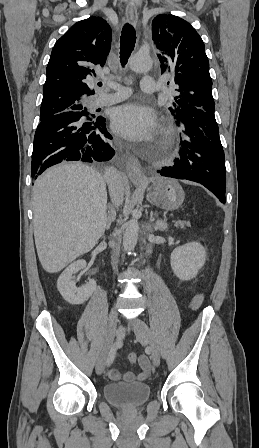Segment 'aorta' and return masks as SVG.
Segmentation results:
<instances>
[{
	"mask_svg": "<svg viewBox=\"0 0 259 448\" xmlns=\"http://www.w3.org/2000/svg\"><path fill=\"white\" fill-rule=\"evenodd\" d=\"M152 66V61L149 56L136 54L132 56L130 59V68L134 72H146L148 71ZM140 227L138 223V219L133 216L127 223V227L123 236V247L125 251H132L134 250L137 240H138V233H139Z\"/></svg>",
	"mask_w": 259,
	"mask_h": 448,
	"instance_id": "obj_1",
	"label": "aorta"
}]
</instances>
